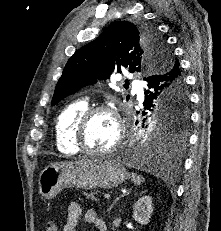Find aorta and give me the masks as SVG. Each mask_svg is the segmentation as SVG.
Returning a JSON list of instances; mask_svg holds the SVG:
<instances>
[{
	"label": "aorta",
	"mask_w": 221,
	"mask_h": 231,
	"mask_svg": "<svg viewBox=\"0 0 221 231\" xmlns=\"http://www.w3.org/2000/svg\"><path fill=\"white\" fill-rule=\"evenodd\" d=\"M147 138H148V139H149V138L152 139V137H150V136H148ZM132 159H133L134 161H137L136 158H132ZM137 162H144V161H137ZM147 162H148V161H147Z\"/></svg>",
	"instance_id": "1"
}]
</instances>
